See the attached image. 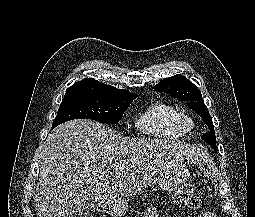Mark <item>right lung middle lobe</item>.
I'll return each instance as SVG.
<instances>
[{
	"instance_id": "obj_1",
	"label": "right lung middle lobe",
	"mask_w": 255,
	"mask_h": 217,
	"mask_svg": "<svg viewBox=\"0 0 255 217\" xmlns=\"http://www.w3.org/2000/svg\"><path fill=\"white\" fill-rule=\"evenodd\" d=\"M135 98L136 95L66 91L52 128L73 119H92L115 124Z\"/></svg>"
}]
</instances>
